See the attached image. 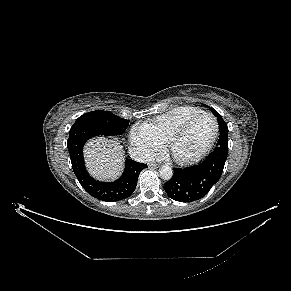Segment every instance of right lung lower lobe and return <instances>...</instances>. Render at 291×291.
Returning <instances> with one entry per match:
<instances>
[{
  "instance_id": "98d812e1",
  "label": "right lung lower lobe",
  "mask_w": 291,
  "mask_h": 291,
  "mask_svg": "<svg viewBox=\"0 0 291 291\" xmlns=\"http://www.w3.org/2000/svg\"><path fill=\"white\" fill-rule=\"evenodd\" d=\"M99 135L110 136L91 124L71 127L67 147L73 171L82 187L97 199L111 202L128 198L134 192L138 176L147 164L128 159L125 162V170L118 180L100 182L92 178L85 167L83 146L88 139Z\"/></svg>"
}]
</instances>
